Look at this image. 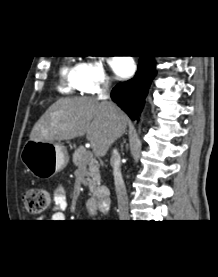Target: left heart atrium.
<instances>
[{"label": "left heart atrium", "mask_w": 218, "mask_h": 277, "mask_svg": "<svg viewBox=\"0 0 218 277\" xmlns=\"http://www.w3.org/2000/svg\"><path fill=\"white\" fill-rule=\"evenodd\" d=\"M110 66L118 77H123L129 73L132 62L123 57H113L110 59Z\"/></svg>", "instance_id": "1"}]
</instances>
